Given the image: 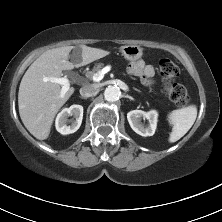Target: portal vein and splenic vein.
Here are the masks:
<instances>
[{"instance_id": "1", "label": "portal vein and splenic vein", "mask_w": 222, "mask_h": 222, "mask_svg": "<svg viewBox=\"0 0 222 222\" xmlns=\"http://www.w3.org/2000/svg\"><path fill=\"white\" fill-rule=\"evenodd\" d=\"M107 73V70L104 68L100 70L99 72L95 73L93 75V81L99 82L103 79L104 74ZM46 81H50L52 83H57L62 86L61 88V95L63 96L70 88V82L66 77H51L46 78Z\"/></svg>"}]
</instances>
